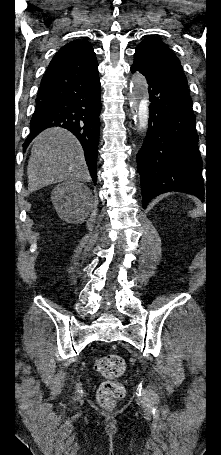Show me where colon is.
Returning a JSON list of instances; mask_svg holds the SVG:
<instances>
[{"label": "colon", "mask_w": 221, "mask_h": 455, "mask_svg": "<svg viewBox=\"0 0 221 455\" xmlns=\"http://www.w3.org/2000/svg\"><path fill=\"white\" fill-rule=\"evenodd\" d=\"M94 367L108 379L98 389V402L102 407L110 408L125 393L123 384L117 380L124 373L125 361L118 355H107L97 359Z\"/></svg>", "instance_id": "1"}]
</instances>
